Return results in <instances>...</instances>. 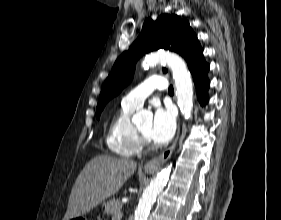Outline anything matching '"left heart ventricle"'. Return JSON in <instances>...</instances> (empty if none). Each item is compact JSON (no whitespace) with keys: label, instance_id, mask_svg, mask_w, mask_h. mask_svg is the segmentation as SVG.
I'll return each instance as SVG.
<instances>
[{"label":"left heart ventricle","instance_id":"obj_1","mask_svg":"<svg viewBox=\"0 0 281 220\" xmlns=\"http://www.w3.org/2000/svg\"><path fill=\"white\" fill-rule=\"evenodd\" d=\"M151 128V123H146L138 127L140 132L149 139V130Z\"/></svg>","mask_w":281,"mask_h":220}]
</instances>
